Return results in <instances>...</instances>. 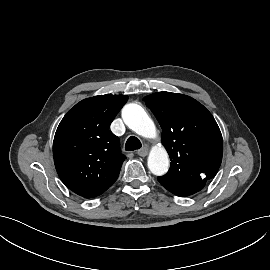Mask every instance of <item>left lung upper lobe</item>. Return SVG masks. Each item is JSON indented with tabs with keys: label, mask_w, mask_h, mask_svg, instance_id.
Listing matches in <instances>:
<instances>
[{
	"label": "left lung upper lobe",
	"mask_w": 270,
	"mask_h": 270,
	"mask_svg": "<svg viewBox=\"0 0 270 270\" xmlns=\"http://www.w3.org/2000/svg\"><path fill=\"white\" fill-rule=\"evenodd\" d=\"M162 128L170 169L158 181L174 194L196 193L213 178L222 161L223 140L212 114L195 99L158 92L144 98Z\"/></svg>",
	"instance_id": "obj_1"
}]
</instances>
